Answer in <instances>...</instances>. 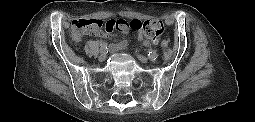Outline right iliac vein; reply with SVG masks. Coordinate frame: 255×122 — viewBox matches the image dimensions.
<instances>
[{
  "label": "right iliac vein",
  "instance_id": "63e3f726",
  "mask_svg": "<svg viewBox=\"0 0 255 122\" xmlns=\"http://www.w3.org/2000/svg\"><path fill=\"white\" fill-rule=\"evenodd\" d=\"M107 57V54L105 51L101 50L100 56H99V61H104Z\"/></svg>",
  "mask_w": 255,
  "mask_h": 122
}]
</instances>
